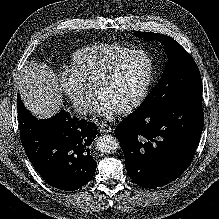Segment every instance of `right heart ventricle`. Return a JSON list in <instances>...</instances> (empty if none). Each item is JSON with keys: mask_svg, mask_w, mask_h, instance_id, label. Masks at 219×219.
Listing matches in <instances>:
<instances>
[{"mask_svg": "<svg viewBox=\"0 0 219 219\" xmlns=\"http://www.w3.org/2000/svg\"><path fill=\"white\" fill-rule=\"evenodd\" d=\"M132 50L122 44H99L76 52L71 70L85 83L95 86L104 71L121 55Z\"/></svg>", "mask_w": 219, "mask_h": 219, "instance_id": "e07e8e85", "label": "right heart ventricle"}]
</instances>
